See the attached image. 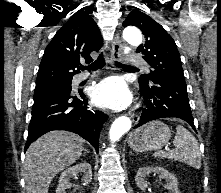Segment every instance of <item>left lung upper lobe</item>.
Returning a JSON list of instances; mask_svg holds the SVG:
<instances>
[{
	"label": "left lung upper lobe",
	"instance_id": "1",
	"mask_svg": "<svg viewBox=\"0 0 221 193\" xmlns=\"http://www.w3.org/2000/svg\"><path fill=\"white\" fill-rule=\"evenodd\" d=\"M136 26L145 35V42L136 52L151 66L150 74L139 78L140 86L151 84L153 77H173L184 79L180 54L173 38L150 16L138 10L129 13L123 26Z\"/></svg>",
	"mask_w": 221,
	"mask_h": 193
}]
</instances>
